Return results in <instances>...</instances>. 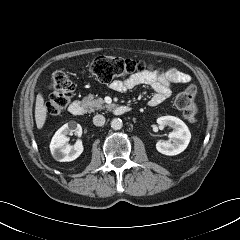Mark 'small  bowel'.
<instances>
[{
	"label": "small bowel",
	"mask_w": 240,
	"mask_h": 240,
	"mask_svg": "<svg viewBox=\"0 0 240 240\" xmlns=\"http://www.w3.org/2000/svg\"><path fill=\"white\" fill-rule=\"evenodd\" d=\"M191 81L189 74L172 68L166 73L156 71H145L132 75L124 80H115L109 87L117 92H127L138 86H148L154 94L150 98L148 104L151 107L157 106L171 96V86L175 83L186 84Z\"/></svg>",
	"instance_id": "small-bowel-1"
}]
</instances>
